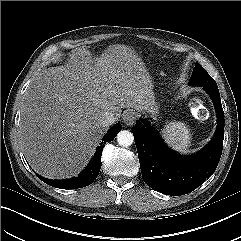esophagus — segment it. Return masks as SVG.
Instances as JSON below:
<instances>
[{
    "instance_id": "esophagus-1",
    "label": "esophagus",
    "mask_w": 241,
    "mask_h": 241,
    "mask_svg": "<svg viewBox=\"0 0 241 241\" xmlns=\"http://www.w3.org/2000/svg\"><path fill=\"white\" fill-rule=\"evenodd\" d=\"M123 121L127 126H132L136 121V114L133 111H128L123 116Z\"/></svg>"
}]
</instances>
